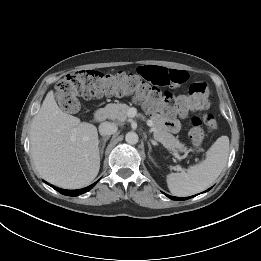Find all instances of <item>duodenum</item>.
<instances>
[{
  "mask_svg": "<svg viewBox=\"0 0 261 261\" xmlns=\"http://www.w3.org/2000/svg\"><path fill=\"white\" fill-rule=\"evenodd\" d=\"M106 117H107V112L105 109H98L94 113V118L98 122L104 121Z\"/></svg>",
  "mask_w": 261,
  "mask_h": 261,
  "instance_id": "duodenum-1",
  "label": "duodenum"
}]
</instances>
